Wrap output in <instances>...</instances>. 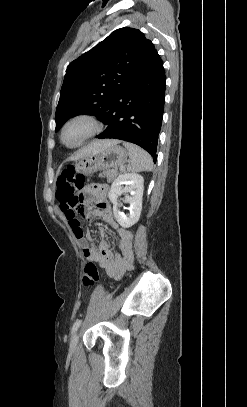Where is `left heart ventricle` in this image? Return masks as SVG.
<instances>
[{
	"mask_svg": "<svg viewBox=\"0 0 247 407\" xmlns=\"http://www.w3.org/2000/svg\"><path fill=\"white\" fill-rule=\"evenodd\" d=\"M89 130L90 125L87 122H74L66 129L64 133V141L67 144H74L79 141Z\"/></svg>",
	"mask_w": 247,
	"mask_h": 407,
	"instance_id": "b2bd125f",
	"label": "left heart ventricle"
}]
</instances>
